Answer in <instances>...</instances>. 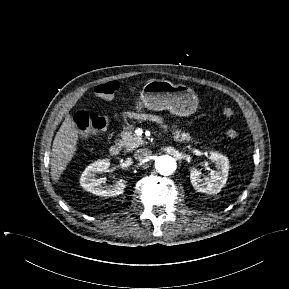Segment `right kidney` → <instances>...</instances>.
I'll return each mask as SVG.
<instances>
[{
    "instance_id": "1",
    "label": "right kidney",
    "mask_w": 289,
    "mask_h": 289,
    "mask_svg": "<svg viewBox=\"0 0 289 289\" xmlns=\"http://www.w3.org/2000/svg\"><path fill=\"white\" fill-rule=\"evenodd\" d=\"M109 166V159L98 160L90 164L81 175V186L97 196L111 197L122 194L126 186L124 180L107 187L102 185L101 178H96L97 173L106 172Z\"/></svg>"
}]
</instances>
